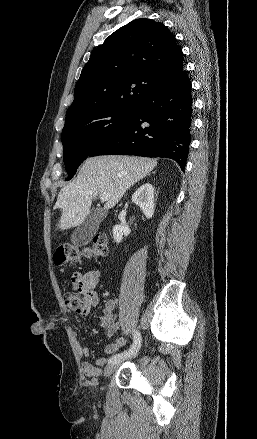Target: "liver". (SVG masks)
<instances>
[{
	"instance_id": "liver-1",
	"label": "liver",
	"mask_w": 257,
	"mask_h": 439,
	"mask_svg": "<svg viewBox=\"0 0 257 439\" xmlns=\"http://www.w3.org/2000/svg\"><path fill=\"white\" fill-rule=\"evenodd\" d=\"M157 165L156 159L120 155L88 158L77 177L64 186L54 206L61 209L57 229L79 226L90 213L92 200L107 193L104 209L114 207L135 182L148 175Z\"/></svg>"
}]
</instances>
